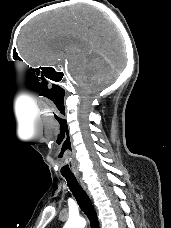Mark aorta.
Returning a JSON list of instances; mask_svg holds the SVG:
<instances>
[{
	"label": "aorta",
	"mask_w": 171,
	"mask_h": 228,
	"mask_svg": "<svg viewBox=\"0 0 171 228\" xmlns=\"http://www.w3.org/2000/svg\"><path fill=\"white\" fill-rule=\"evenodd\" d=\"M85 225H86V221L81 217L69 218L64 228H84Z\"/></svg>",
	"instance_id": "762f6f07"
}]
</instances>
